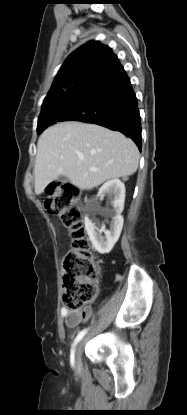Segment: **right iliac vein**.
<instances>
[{"label":"right iliac vein","mask_w":187,"mask_h":415,"mask_svg":"<svg viewBox=\"0 0 187 415\" xmlns=\"http://www.w3.org/2000/svg\"><path fill=\"white\" fill-rule=\"evenodd\" d=\"M84 344V340H82L79 345L77 346L76 353H75V365L79 366L81 364V356H82V347Z\"/></svg>","instance_id":"right-iliac-vein-1"}]
</instances>
